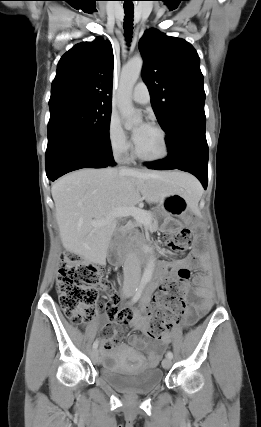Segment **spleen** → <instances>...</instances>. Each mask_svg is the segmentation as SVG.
<instances>
[{"label":"spleen","mask_w":261,"mask_h":427,"mask_svg":"<svg viewBox=\"0 0 261 427\" xmlns=\"http://www.w3.org/2000/svg\"><path fill=\"white\" fill-rule=\"evenodd\" d=\"M187 194L190 197L192 204L196 205L202 196V189L197 181L190 184Z\"/></svg>","instance_id":"obj_1"}]
</instances>
